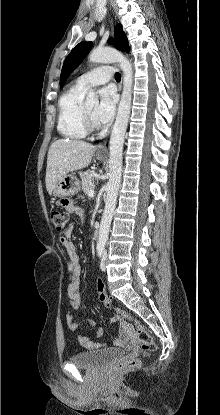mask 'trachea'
<instances>
[{
  "instance_id": "3493384b",
  "label": "trachea",
  "mask_w": 220,
  "mask_h": 415,
  "mask_svg": "<svg viewBox=\"0 0 220 415\" xmlns=\"http://www.w3.org/2000/svg\"><path fill=\"white\" fill-rule=\"evenodd\" d=\"M115 79L119 82L121 80V74L117 72L115 75Z\"/></svg>"
}]
</instances>
